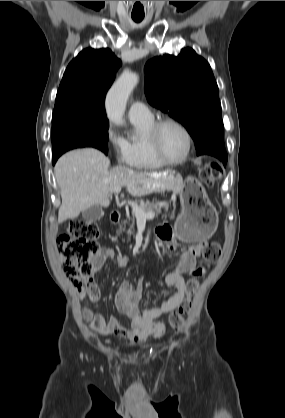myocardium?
<instances>
[{"mask_svg":"<svg viewBox=\"0 0 285 418\" xmlns=\"http://www.w3.org/2000/svg\"><path fill=\"white\" fill-rule=\"evenodd\" d=\"M167 125H174L181 129L187 140L185 154L177 160L166 157L159 143L160 132ZM147 141L155 158L166 165H179L184 163L189 158L193 148V139L190 131L183 123L173 118H164L155 122L148 133Z\"/></svg>","mask_w":285,"mask_h":418,"instance_id":"f54148a6","label":"myocardium"}]
</instances>
